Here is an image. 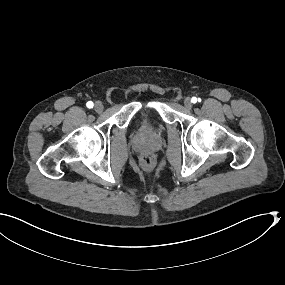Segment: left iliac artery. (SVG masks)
Returning <instances> with one entry per match:
<instances>
[{"label":"left iliac artery","mask_w":285,"mask_h":285,"mask_svg":"<svg viewBox=\"0 0 285 285\" xmlns=\"http://www.w3.org/2000/svg\"><path fill=\"white\" fill-rule=\"evenodd\" d=\"M199 99H200V98L197 99L196 97H192L191 102H192V103H196L197 101H199Z\"/></svg>","instance_id":"obj_1"}]
</instances>
